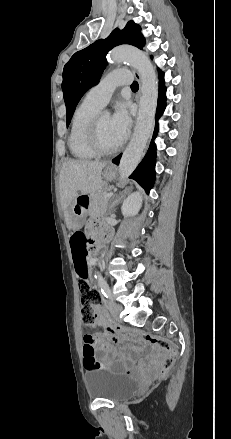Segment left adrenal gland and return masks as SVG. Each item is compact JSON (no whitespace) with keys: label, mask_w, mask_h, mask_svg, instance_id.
<instances>
[{"label":"left adrenal gland","mask_w":231,"mask_h":439,"mask_svg":"<svg viewBox=\"0 0 231 439\" xmlns=\"http://www.w3.org/2000/svg\"><path fill=\"white\" fill-rule=\"evenodd\" d=\"M122 197H123V194L113 196V199H112L110 207H109V209L111 211H115V206L120 202Z\"/></svg>","instance_id":"a2214340"}]
</instances>
